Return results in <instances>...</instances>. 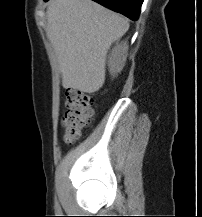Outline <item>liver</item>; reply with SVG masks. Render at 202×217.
I'll use <instances>...</instances> for the list:
<instances>
[{
	"mask_svg": "<svg viewBox=\"0 0 202 217\" xmlns=\"http://www.w3.org/2000/svg\"><path fill=\"white\" fill-rule=\"evenodd\" d=\"M128 29L126 18L91 0H51L47 36L57 55L62 86L98 91L105 82L107 52Z\"/></svg>",
	"mask_w": 202,
	"mask_h": 217,
	"instance_id": "1",
	"label": "liver"
}]
</instances>
